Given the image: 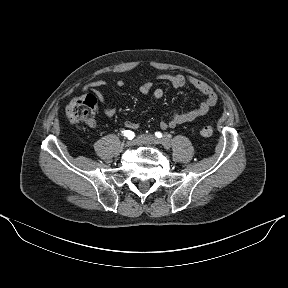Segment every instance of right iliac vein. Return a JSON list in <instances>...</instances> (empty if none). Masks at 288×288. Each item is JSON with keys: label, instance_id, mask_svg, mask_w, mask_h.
Masks as SVG:
<instances>
[{"label": "right iliac vein", "instance_id": "1", "mask_svg": "<svg viewBox=\"0 0 288 288\" xmlns=\"http://www.w3.org/2000/svg\"><path fill=\"white\" fill-rule=\"evenodd\" d=\"M132 144V142L126 141L125 142V146H130Z\"/></svg>", "mask_w": 288, "mask_h": 288}]
</instances>
